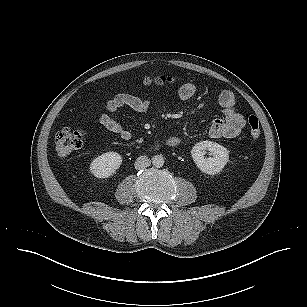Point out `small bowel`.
<instances>
[{
  "mask_svg": "<svg viewBox=\"0 0 307 307\" xmlns=\"http://www.w3.org/2000/svg\"><path fill=\"white\" fill-rule=\"evenodd\" d=\"M196 92V85L188 82L181 85L178 94L182 100H189ZM218 103L223 110L224 118H216L212 121L208 130L209 135L212 138L237 137L245 124V120L237 109L233 93L222 91L218 96ZM123 106L129 107L138 113H145L150 109L151 104L150 101L130 93L117 94L107 101L105 112L99 116V123L111 133L118 135L123 141H130L132 133L110 115V113ZM166 143L169 146L175 147L179 145L180 140L177 137H170Z\"/></svg>",
  "mask_w": 307,
  "mask_h": 307,
  "instance_id": "1",
  "label": "small bowel"
}]
</instances>
